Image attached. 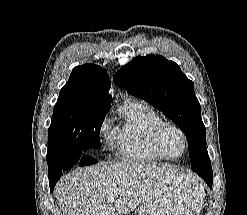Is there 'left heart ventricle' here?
Masks as SVG:
<instances>
[{"mask_svg":"<svg viewBox=\"0 0 247 215\" xmlns=\"http://www.w3.org/2000/svg\"><path fill=\"white\" fill-rule=\"evenodd\" d=\"M166 150L169 154L178 155L182 152L183 142L181 136L173 129L167 130L164 137Z\"/></svg>","mask_w":247,"mask_h":215,"instance_id":"1","label":"left heart ventricle"}]
</instances>
